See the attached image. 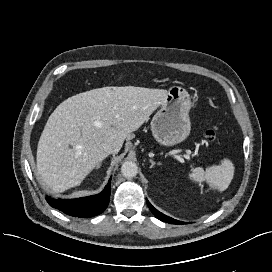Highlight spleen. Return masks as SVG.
Here are the masks:
<instances>
[{
    "instance_id": "3e777b00",
    "label": "spleen",
    "mask_w": 272,
    "mask_h": 272,
    "mask_svg": "<svg viewBox=\"0 0 272 272\" xmlns=\"http://www.w3.org/2000/svg\"><path fill=\"white\" fill-rule=\"evenodd\" d=\"M234 164L229 159H224L218 166H211L204 171L201 167L193 169L189 179L197 182L206 180L211 188L222 192L231 183L234 176Z\"/></svg>"
}]
</instances>
